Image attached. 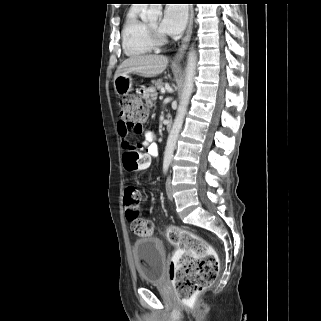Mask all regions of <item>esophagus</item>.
Returning a JSON list of instances; mask_svg holds the SVG:
<instances>
[{"mask_svg": "<svg viewBox=\"0 0 321 321\" xmlns=\"http://www.w3.org/2000/svg\"><path fill=\"white\" fill-rule=\"evenodd\" d=\"M192 27H193V6L190 5L189 6V20H188L186 34H185V36L182 40V43H181V45H180V47L174 57L175 61H179L183 57V55L188 47L190 38H191Z\"/></svg>", "mask_w": 321, "mask_h": 321, "instance_id": "obj_1", "label": "esophagus"}]
</instances>
